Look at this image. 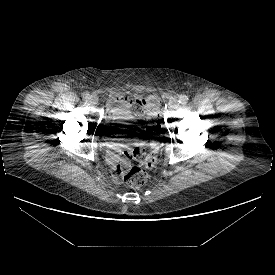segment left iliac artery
<instances>
[{"mask_svg": "<svg viewBox=\"0 0 275 275\" xmlns=\"http://www.w3.org/2000/svg\"><path fill=\"white\" fill-rule=\"evenodd\" d=\"M178 102L182 105L186 104L188 102V97L185 95L179 96Z\"/></svg>", "mask_w": 275, "mask_h": 275, "instance_id": "left-iliac-artery-1", "label": "left iliac artery"}]
</instances>
